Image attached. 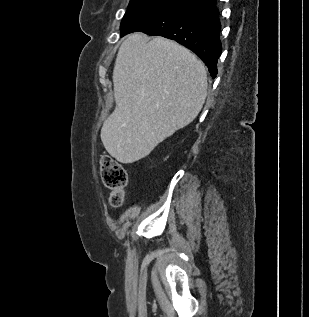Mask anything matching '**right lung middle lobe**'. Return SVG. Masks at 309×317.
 <instances>
[{"label": "right lung middle lobe", "instance_id": "obj_1", "mask_svg": "<svg viewBox=\"0 0 309 317\" xmlns=\"http://www.w3.org/2000/svg\"><path fill=\"white\" fill-rule=\"evenodd\" d=\"M177 1L179 0H130L128 9L121 22V32L127 30L131 24L142 16Z\"/></svg>", "mask_w": 309, "mask_h": 317}]
</instances>
